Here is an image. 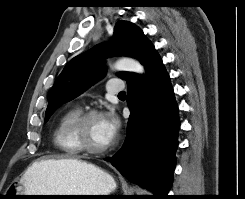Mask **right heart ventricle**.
I'll use <instances>...</instances> for the list:
<instances>
[{
  "mask_svg": "<svg viewBox=\"0 0 245 199\" xmlns=\"http://www.w3.org/2000/svg\"><path fill=\"white\" fill-rule=\"evenodd\" d=\"M80 113L79 108L67 110L61 116L53 133L55 145L68 156H76L81 152L71 135V124Z\"/></svg>",
  "mask_w": 245,
  "mask_h": 199,
  "instance_id": "1",
  "label": "right heart ventricle"
}]
</instances>
